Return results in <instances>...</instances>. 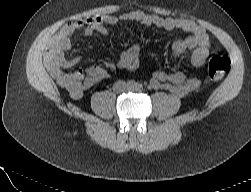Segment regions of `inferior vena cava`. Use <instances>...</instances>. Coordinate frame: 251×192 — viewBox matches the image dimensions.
<instances>
[{"label":"inferior vena cava","mask_w":251,"mask_h":192,"mask_svg":"<svg viewBox=\"0 0 251 192\" xmlns=\"http://www.w3.org/2000/svg\"><path fill=\"white\" fill-rule=\"evenodd\" d=\"M113 90L116 92H122L126 90V84L123 81H118L114 84Z\"/></svg>","instance_id":"inferior-vena-cava-1"}]
</instances>
